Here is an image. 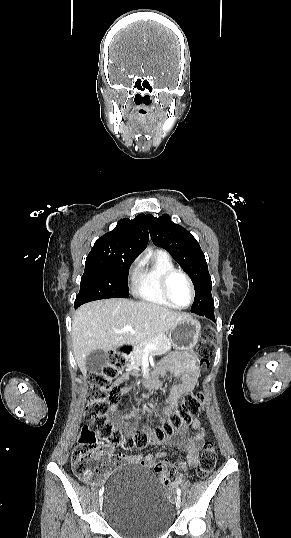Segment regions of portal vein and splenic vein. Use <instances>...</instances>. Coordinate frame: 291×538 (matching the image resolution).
<instances>
[{
  "label": "portal vein and splenic vein",
  "mask_w": 291,
  "mask_h": 538,
  "mask_svg": "<svg viewBox=\"0 0 291 538\" xmlns=\"http://www.w3.org/2000/svg\"><path fill=\"white\" fill-rule=\"evenodd\" d=\"M126 331H133V328L129 325H126L124 326L122 329L118 330L117 333H123V332H126ZM156 346L153 345V344H148L146 345L145 347V350L148 351L150 349H154Z\"/></svg>",
  "instance_id": "18ae733b"
}]
</instances>
